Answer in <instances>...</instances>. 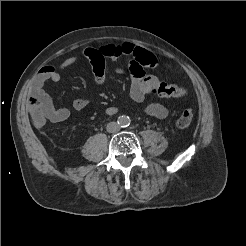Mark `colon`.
Instances as JSON below:
<instances>
[{
    "label": "colon",
    "instance_id": "1",
    "mask_svg": "<svg viewBox=\"0 0 246 246\" xmlns=\"http://www.w3.org/2000/svg\"><path fill=\"white\" fill-rule=\"evenodd\" d=\"M132 60L136 67L141 70L156 67L159 64L157 57L150 51L136 47ZM186 90L179 85L170 84L166 82H159L152 89V94L159 97H175L179 98L184 96ZM29 111L30 115L36 125H43L51 113V105L38 96H32L29 99ZM193 120V113L191 110H184L177 119V126L180 128L188 127Z\"/></svg>",
    "mask_w": 246,
    "mask_h": 246
}]
</instances>
